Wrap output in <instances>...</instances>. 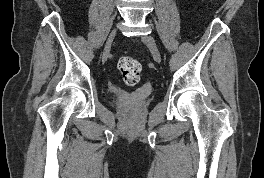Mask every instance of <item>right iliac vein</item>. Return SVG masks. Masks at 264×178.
I'll list each match as a JSON object with an SVG mask.
<instances>
[{"label": "right iliac vein", "mask_w": 264, "mask_h": 178, "mask_svg": "<svg viewBox=\"0 0 264 178\" xmlns=\"http://www.w3.org/2000/svg\"><path fill=\"white\" fill-rule=\"evenodd\" d=\"M116 33H117V30L116 29H113L111 31V33L109 34L108 36V39L106 41V44H105V47H104V56L106 57L109 52H110V48H111V45H112V42L116 36Z\"/></svg>", "instance_id": "right-iliac-vein-1"}]
</instances>
